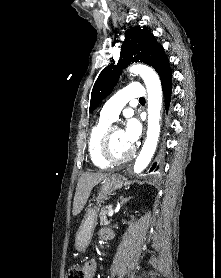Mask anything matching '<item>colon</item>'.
<instances>
[{
    "label": "colon",
    "mask_w": 221,
    "mask_h": 278,
    "mask_svg": "<svg viewBox=\"0 0 221 278\" xmlns=\"http://www.w3.org/2000/svg\"><path fill=\"white\" fill-rule=\"evenodd\" d=\"M66 278H85V274L82 268L77 266H72L67 269Z\"/></svg>",
    "instance_id": "5ec220e1"
}]
</instances>
